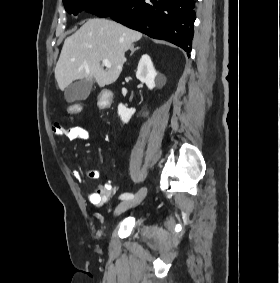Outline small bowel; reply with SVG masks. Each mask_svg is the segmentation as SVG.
Returning a JSON list of instances; mask_svg holds the SVG:
<instances>
[{"label": "small bowel", "instance_id": "1", "mask_svg": "<svg viewBox=\"0 0 280 283\" xmlns=\"http://www.w3.org/2000/svg\"><path fill=\"white\" fill-rule=\"evenodd\" d=\"M52 134L55 137L66 138L70 141H84L88 139V131L82 126L64 127L60 123H54L51 128ZM74 178H80L79 170H72ZM87 178L91 181H98L101 178V172L97 169H90L87 171ZM115 190L112 180L104 183H98L93 192L88 195L89 202L95 207L103 206L111 197Z\"/></svg>", "mask_w": 280, "mask_h": 283}]
</instances>
